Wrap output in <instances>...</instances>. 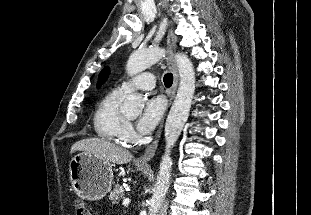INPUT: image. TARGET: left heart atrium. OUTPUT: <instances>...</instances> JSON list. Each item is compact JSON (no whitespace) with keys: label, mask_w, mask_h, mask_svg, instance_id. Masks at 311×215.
<instances>
[{"label":"left heart atrium","mask_w":311,"mask_h":215,"mask_svg":"<svg viewBox=\"0 0 311 215\" xmlns=\"http://www.w3.org/2000/svg\"><path fill=\"white\" fill-rule=\"evenodd\" d=\"M165 109V102L162 97L156 96L149 99L137 122V128L141 134L150 133L160 121Z\"/></svg>","instance_id":"left-heart-atrium-1"}]
</instances>
